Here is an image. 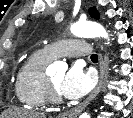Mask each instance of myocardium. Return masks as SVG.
I'll return each mask as SVG.
<instances>
[{
	"label": "myocardium",
	"mask_w": 133,
	"mask_h": 118,
	"mask_svg": "<svg viewBox=\"0 0 133 118\" xmlns=\"http://www.w3.org/2000/svg\"><path fill=\"white\" fill-rule=\"evenodd\" d=\"M46 96L47 101L51 104L59 105L63 103V99L60 93L56 90L51 79L48 76L46 78Z\"/></svg>",
	"instance_id": "myocardium-1"
}]
</instances>
